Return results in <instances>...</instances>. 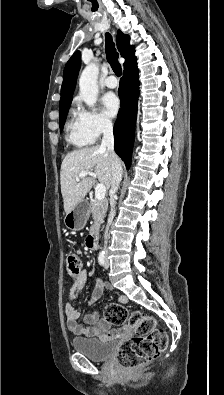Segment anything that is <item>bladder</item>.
I'll list each match as a JSON object with an SVG mask.
<instances>
[{"mask_svg":"<svg viewBox=\"0 0 224 395\" xmlns=\"http://www.w3.org/2000/svg\"><path fill=\"white\" fill-rule=\"evenodd\" d=\"M74 350L92 361H105L112 353L114 342L96 338L76 337L71 342Z\"/></svg>","mask_w":224,"mask_h":395,"instance_id":"1","label":"bladder"}]
</instances>
